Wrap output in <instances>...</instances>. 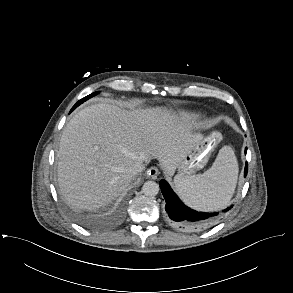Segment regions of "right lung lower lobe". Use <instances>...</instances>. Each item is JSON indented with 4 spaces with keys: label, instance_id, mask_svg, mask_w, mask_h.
<instances>
[{
    "label": "right lung lower lobe",
    "instance_id": "1",
    "mask_svg": "<svg viewBox=\"0 0 293 293\" xmlns=\"http://www.w3.org/2000/svg\"><path fill=\"white\" fill-rule=\"evenodd\" d=\"M75 108L73 107L71 111H73Z\"/></svg>",
    "mask_w": 293,
    "mask_h": 293
}]
</instances>
